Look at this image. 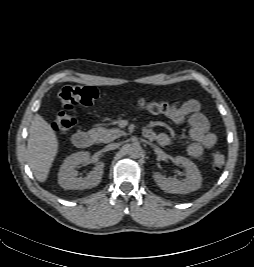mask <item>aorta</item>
<instances>
[{
	"mask_svg": "<svg viewBox=\"0 0 254 267\" xmlns=\"http://www.w3.org/2000/svg\"><path fill=\"white\" fill-rule=\"evenodd\" d=\"M127 153L131 158L137 159L142 155V148L138 143H132L127 146Z\"/></svg>",
	"mask_w": 254,
	"mask_h": 267,
	"instance_id": "762f6f07",
	"label": "aorta"
}]
</instances>
